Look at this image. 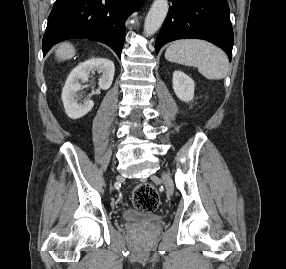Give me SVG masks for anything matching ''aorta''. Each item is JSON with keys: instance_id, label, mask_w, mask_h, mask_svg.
<instances>
[{"instance_id": "obj_1", "label": "aorta", "mask_w": 286, "mask_h": 269, "mask_svg": "<svg viewBox=\"0 0 286 269\" xmlns=\"http://www.w3.org/2000/svg\"><path fill=\"white\" fill-rule=\"evenodd\" d=\"M168 10V0H155L153 2L144 23V33L147 36L153 35L160 29Z\"/></svg>"}]
</instances>
